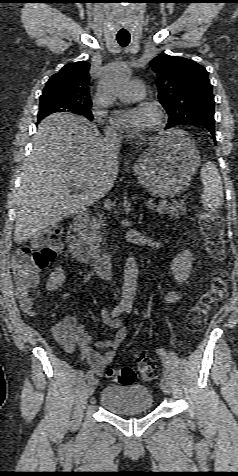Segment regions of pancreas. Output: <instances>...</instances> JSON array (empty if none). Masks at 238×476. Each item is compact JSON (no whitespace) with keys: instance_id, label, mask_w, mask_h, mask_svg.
Returning <instances> with one entry per match:
<instances>
[{"instance_id":"obj_1","label":"pancreas","mask_w":238,"mask_h":476,"mask_svg":"<svg viewBox=\"0 0 238 476\" xmlns=\"http://www.w3.org/2000/svg\"><path fill=\"white\" fill-rule=\"evenodd\" d=\"M154 210L159 214H167L172 218L186 214V207L183 200L179 202L172 201L171 203L165 200L161 201L154 207ZM104 219L103 215L98 218H92L86 233L87 244L97 250H99V243L103 239L104 231L100 228L104 226Z\"/></svg>"}]
</instances>
